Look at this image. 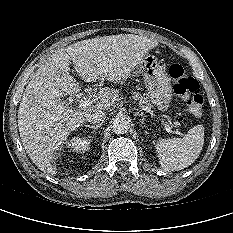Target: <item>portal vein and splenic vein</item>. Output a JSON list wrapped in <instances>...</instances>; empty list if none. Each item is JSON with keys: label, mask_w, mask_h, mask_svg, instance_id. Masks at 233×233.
<instances>
[{"label": "portal vein and splenic vein", "mask_w": 233, "mask_h": 233, "mask_svg": "<svg viewBox=\"0 0 233 233\" xmlns=\"http://www.w3.org/2000/svg\"><path fill=\"white\" fill-rule=\"evenodd\" d=\"M92 103H93V101H92V98H91V97H83V98L79 101V108L85 109V108L91 106ZM142 109H143L144 111H146V112L152 114L151 110L148 109L147 107L142 106ZM162 122L164 123L165 129H166V131H167L168 133H173V134H177V135H182V133L179 132L178 130L174 131V130L172 129V127L168 124V122L164 121L163 119H162ZM175 124L178 125V123H175Z\"/></svg>", "instance_id": "obj_1"}]
</instances>
